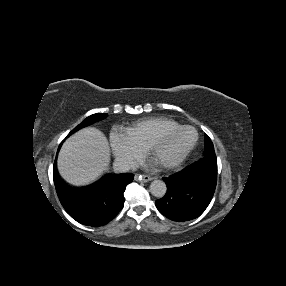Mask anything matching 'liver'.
<instances>
[{
    "mask_svg": "<svg viewBox=\"0 0 286 286\" xmlns=\"http://www.w3.org/2000/svg\"><path fill=\"white\" fill-rule=\"evenodd\" d=\"M110 149L105 135L96 128H84L62 145L57 167L73 185H84L98 178L109 166Z\"/></svg>",
    "mask_w": 286,
    "mask_h": 286,
    "instance_id": "6515ba94",
    "label": "liver"
}]
</instances>
